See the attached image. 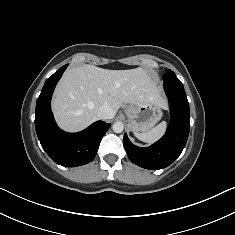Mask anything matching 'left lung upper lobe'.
I'll list each match as a JSON object with an SVG mask.
<instances>
[{
	"label": "left lung upper lobe",
	"instance_id": "1",
	"mask_svg": "<svg viewBox=\"0 0 235 235\" xmlns=\"http://www.w3.org/2000/svg\"><path fill=\"white\" fill-rule=\"evenodd\" d=\"M163 76L176 77L175 73L172 70H170V69H168L166 74H164Z\"/></svg>",
	"mask_w": 235,
	"mask_h": 235
}]
</instances>
